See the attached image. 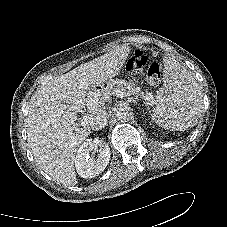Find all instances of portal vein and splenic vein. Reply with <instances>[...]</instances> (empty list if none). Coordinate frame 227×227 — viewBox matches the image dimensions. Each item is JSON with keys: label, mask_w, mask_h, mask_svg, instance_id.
<instances>
[{"label": "portal vein and splenic vein", "mask_w": 227, "mask_h": 227, "mask_svg": "<svg viewBox=\"0 0 227 227\" xmlns=\"http://www.w3.org/2000/svg\"><path fill=\"white\" fill-rule=\"evenodd\" d=\"M115 94L117 95V97L119 98H123L124 97V94L119 92V91H116ZM91 101H95L94 99L90 98ZM146 99L151 101L153 100V95L151 93H148L147 96H146ZM91 122V115H84L82 118H81V125L83 126H86L88 125L89 123Z\"/></svg>", "instance_id": "portal-vein-and-splenic-vein-1"}]
</instances>
